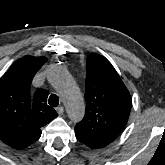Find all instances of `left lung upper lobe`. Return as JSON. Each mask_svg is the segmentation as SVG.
<instances>
[{
    "mask_svg": "<svg viewBox=\"0 0 165 165\" xmlns=\"http://www.w3.org/2000/svg\"><path fill=\"white\" fill-rule=\"evenodd\" d=\"M85 100V116L75 130L110 144L126 126L132 100L114 67L98 54L87 58Z\"/></svg>",
    "mask_w": 165,
    "mask_h": 165,
    "instance_id": "1",
    "label": "left lung upper lobe"
}]
</instances>
